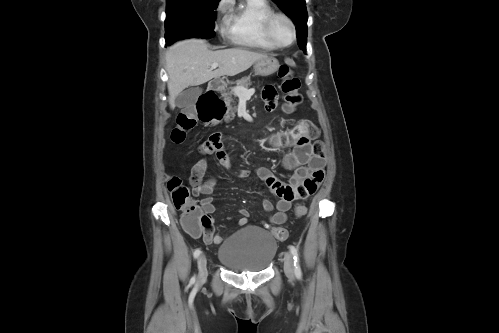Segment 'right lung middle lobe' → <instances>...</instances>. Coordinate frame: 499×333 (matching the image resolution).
Returning a JSON list of instances; mask_svg holds the SVG:
<instances>
[{
    "label": "right lung middle lobe",
    "instance_id": "dd1d6c3e",
    "mask_svg": "<svg viewBox=\"0 0 499 333\" xmlns=\"http://www.w3.org/2000/svg\"><path fill=\"white\" fill-rule=\"evenodd\" d=\"M220 0H167L165 39L167 45L191 37L212 38Z\"/></svg>",
    "mask_w": 499,
    "mask_h": 333
}]
</instances>
